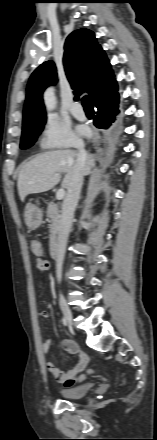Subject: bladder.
<instances>
[{
  "label": "bladder",
  "mask_w": 157,
  "mask_h": 440,
  "mask_svg": "<svg viewBox=\"0 0 157 440\" xmlns=\"http://www.w3.org/2000/svg\"><path fill=\"white\" fill-rule=\"evenodd\" d=\"M92 387L93 385L90 383L75 387L66 386L59 391V394L66 400H78L83 398L92 389Z\"/></svg>",
  "instance_id": "1"
}]
</instances>
